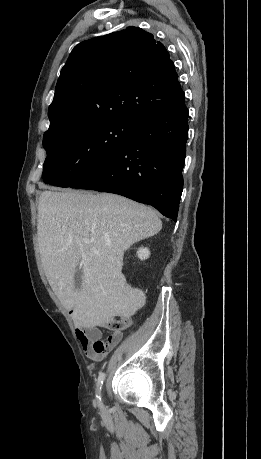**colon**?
I'll return each mask as SVG.
<instances>
[{
    "mask_svg": "<svg viewBox=\"0 0 261 459\" xmlns=\"http://www.w3.org/2000/svg\"><path fill=\"white\" fill-rule=\"evenodd\" d=\"M127 325V321L124 318L111 319L107 323V328L113 332H119L123 330Z\"/></svg>",
    "mask_w": 261,
    "mask_h": 459,
    "instance_id": "5ec220e1",
    "label": "colon"
}]
</instances>
